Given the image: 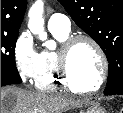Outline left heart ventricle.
Segmentation results:
<instances>
[{"label": "left heart ventricle", "mask_w": 123, "mask_h": 113, "mask_svg": "<svg viewBox=\"0 0 123 113\" xmlns=\"http://www.w3.org/2000/svg\"><path fill=\"white\" fill-rule=\"evenodd\" d=\"M101 70L100 58L87 42L78 43L69 58V71L74 83L90 89L98 81Z\"/></svg>", "instance_id": "b2bd125f"}]
</instances>
